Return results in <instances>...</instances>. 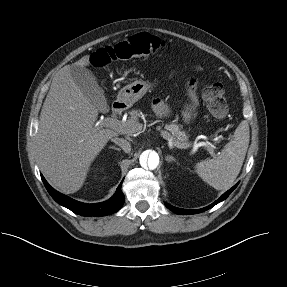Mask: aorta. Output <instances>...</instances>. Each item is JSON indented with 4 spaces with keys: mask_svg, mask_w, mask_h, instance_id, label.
I'll use <instances>...</instances> for the list:
<instances>
[{
    "mask_svg": "<svg viewBox=\"0 0 287 287\" xmlns=\"http://www.w3.org/2000/svg\"><path fill=\"white\" fill-rule=\"evenodd\" d=\"M140 164L144 168L154 170L159 165V155L157 152L148 150L140 155Z\"/></svg>",
    "mask_w": 287,
    "mask_h": 287,
    "instance_id": "1",
    "label": "aorta"
}]
</instances>
